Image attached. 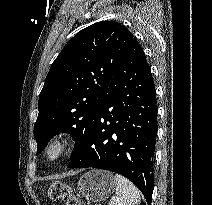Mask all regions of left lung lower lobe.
<instances>
[{
    "mask_svg": "<svg viewBox=\"0 0 212 205\" xmlns=\"http://www.w3.org/2000/svg\"><path fill=\"white\" fill-rule=\"evenodd\" d=\"M157 99L145 53L134 38L116 67L86 140L68 168H100L131 180L151 205Z\"/></svg>",
    "mask_w": 212,
    "mask_h": 205,
    "instance_id": "left-lung-lower-lobe-1",
    "label": "left lung lower lobe"
}]
</instances>
